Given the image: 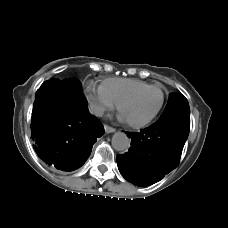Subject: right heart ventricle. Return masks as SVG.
<instances>
[{"mask_svg": "<svg viewBox=\"0 0 228 228\" xmlns=\"http://www.w3.org/2000/svg\"><path fill=\"white\" fill-rule=\"evenodd\" d=\"M150 84L131 78H108L102 82L101 89L104 94L114 103L118 104L128 94L146 88Z\"/></svg>", "mask_w": 228, "mask_h": 228, "instance_id": "right-heart-ventricle-1", "label": "right heart ventricle"}]
</instances>
